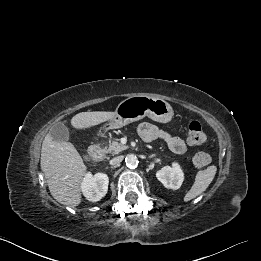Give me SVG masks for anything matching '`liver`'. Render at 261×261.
I'll return each mask as SVG.
<instances>
[{
	"mask_svg": "<svg viewBox=\"0 0 261 261\" xmlns=\"http://www.w3.org/2000/svg\"><path fill=\"white\" fill-rule=\"evenodd\" d=\"M114 116L115 112H81L71 119V125L79 130L87 129ZM40 164L53 198L70 207L78 206L87 166L75 147L69 142L55 141L47 134L42 143Z\"/></svg>",
	"mask_w": 261,
	"mask_h": 261,
	"instance_id": "liver-1",
	"label": "liver"
}]
</instances>
